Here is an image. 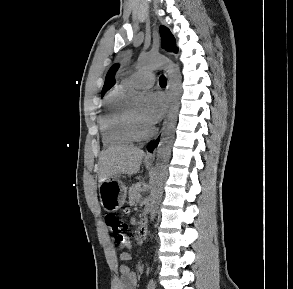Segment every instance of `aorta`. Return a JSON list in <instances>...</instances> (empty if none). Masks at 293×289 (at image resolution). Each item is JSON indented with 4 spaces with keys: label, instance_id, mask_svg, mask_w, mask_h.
<instances>
[{
    "label": "aorta",
    "instance_id": "1",
    "mask_svg": "<svg viewBox=\"0 0 293 289\" xmlns=\"http://www.w3.org/2000/svg\"><path fill=\"white\" fill-rule=\"evenodd\" d=\"M137 68L138 70L158 68L164 69L169 79L170 87V107L163 137L157 151L156 167L150 194L149 211L150 219L153 221L162 198L164 182L168 175V163L180 108L182 77L179 68L174 63L163 57L141 55L138 59ZM129 99L131 103L138 105L143 103L145 96L141 92L132 91L129 95Z\"/></svg>",
    "mask_w": 293,
    "mask_h": 289
}]
</instances>
